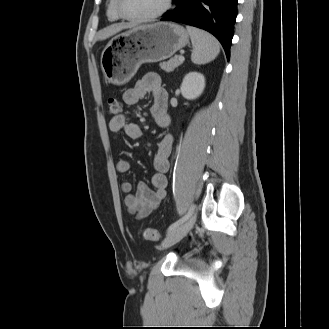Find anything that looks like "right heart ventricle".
<instances>
[{"label": "right heart ventricle", "mask_w": 329, "mask_h": 329, "mask_svg": "<svg viewBox=\"0 0 329 329\" xmlns=\"http://www.w3.org/2000/svg\"><path fill=\"white\" fill-rule=\"evenodd\" d=\"M107 16L111 21H117L121 19L116 10V0H109L107 5Z\"/></svg>", "instance_id": "1"}]
</instances>
